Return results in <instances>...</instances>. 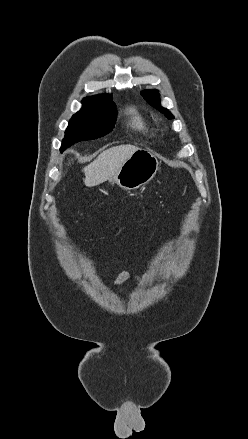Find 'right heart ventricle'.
I'll return each mask as SVG.
<instances>
[{
	"label": "right heart ventricle",
	"instance_id": "obj_1",
	"mask_svg": "<svg viewBox=\"0 0 248 439\" xmlns=\"http://www.w3.org/2000/svg\"><path fill=\"white\" fill-rule=\"evenodd\" d=\"M129 123L131 127L140 132H147L149 130V123L145 115L136 107H129L127 109Z\"/></svg>",
	"mask_w": 248,
	"mask_h": 439
}]
</instances>
